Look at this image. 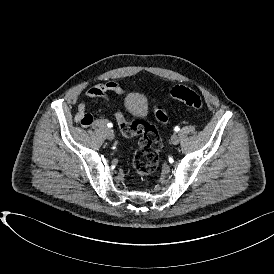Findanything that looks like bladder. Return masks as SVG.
Segmentation results:
<instances>
[{
	"instance_id": "bladder-1",
	"label": "bladder",
	"mask_w": 274,
	"mask_h": 274,
	"mask_svg": "<svg viewBox=\"0 0 274 274\" xmlns=\"http://www.w3.org/2000/svg\"><path fill=\"white\" fill-rule=\"evenodd\" d=\"M127 112L134 117H141L147 109V101L140 94L129 95L124 102Z\"/></svg>"
}]
</instances>
